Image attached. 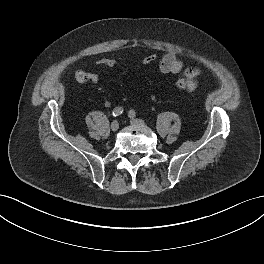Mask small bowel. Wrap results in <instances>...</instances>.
<instances>
[{"mask_svg":"<svg viewBox=\"0 0 264 264\" xmlns=\"http://www.w3.org/2000/svg\"><path fill=\"white\" fill-rule=\"evenodd\" d=\"M183 66V60L179 58L175 52L169 51L161 58L158 65V70L161 74H177L183 69ZM184 73L193 80L199 76L200 71L197 68L188 67L185 69ZM75 77L80 83H97L100 80V74L87 72L83 69L77 70Z\"/></svg>","mask_w":264,"mask_h":264,"instance_id":"c3829d8e","label":"small bowel"}]
</instances>
